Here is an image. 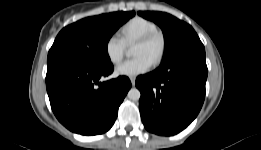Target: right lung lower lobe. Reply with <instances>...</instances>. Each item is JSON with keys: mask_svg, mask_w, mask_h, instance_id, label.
<instances>
[{"mask_svg": "<svg viewBox=\"0 0 261 150\" xmlns=\"http://www.w3.org/2000/svg\"><path fill=\"white\" fill-rule=\"evenodd\" d=\"M113 69L112 63L100 67L72 63L47 66L46 87L51 108L70 131L98 135L113 126L118 108L131 88L125 76L100 82Z\"/></svg>", "mask_w": 261, "mask_h": 150, "instance_id": "right-lung-lower-lobe-1", "label": "right lung lower lobe"}]
</instances>
